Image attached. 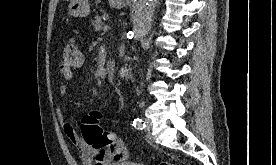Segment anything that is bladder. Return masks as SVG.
Here are the masks:
<instances>
[{
  "instance_id": "31cf9c89",
  "label": "bladder",
  "mask_w": 276,
  "mask_h": 165,
  "mask_svg": "<svg viewBox=\"0 0 276 165\" xmlns=\"http://www.w3.org/2000/svg\"><path fill=\"white\" fill-rule=\"evenodd\" d=\"M111 165H143L140 163H135V162H129V161H122V162H116Z\"/></svg>"
}]
</instances>
